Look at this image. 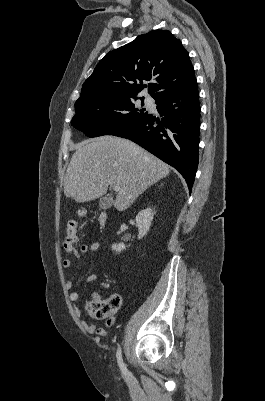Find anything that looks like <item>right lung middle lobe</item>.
<instances>
[{
    "instance_id": "obj_1",
    "label": "right lung middle lobe",
    "mask_w": 265,
    "mask_h": 401,
    "mask_svg": "<svg viewBox=\"0 0 265 401\" xmlns=\"http://www.w3.org/2000/svg\"><path fill=\"white\" fill-rule=\"evenodd\" d=\"M132 98L105 96L79 104L71 124L88 137L112 135L148 115L145 108L135 107Z\"/></svg>"
}]
</instances>
